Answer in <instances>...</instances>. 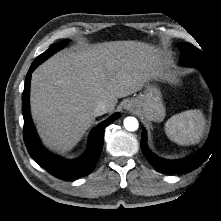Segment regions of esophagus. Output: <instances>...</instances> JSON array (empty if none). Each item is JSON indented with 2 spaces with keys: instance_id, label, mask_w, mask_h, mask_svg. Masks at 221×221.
<instances>
[{
  "instance_id": "esophagus-1",
  "label": "esophagus",
  "mask_w": 221,
  "mask_h": 221,
  "mask_svg": "<svg viewBox=\"0 0 221 221\" xmlns=\"http://www.w3.org/2000/svg\"><path fill=\"white\" fill-rule=\"evenodd\" d=\"M130 109H131V106L128 105V110H130Z\"/></svg>"
}]
</instances>
